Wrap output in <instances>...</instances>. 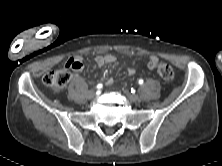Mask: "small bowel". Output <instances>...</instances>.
I'll list each match as a JSON object with an SVG mask.
<instances>
[{
  "label": "small bowel",
  "mask_w": 222,
  "mask_h": 166,
  "mask_svg": "<svg viewBox=\"0 0 222 166\" xmlns=\"http://www.w3.org/2000/svg\"><path fill=\"white\" fill-rule=\"evenodd\" d=\"M116 61V57L112 54H102V55H97L95 57V62L98 67H104L107 65H110ZM66 67L73 69L76 72H80L84 68V62L83 58L79 55H74L70 57L67 62H66ZM135 69L134 68H129L127 70V74L129 76L135 74ZM113 83V79L109 78L106 80V85H111Z\"/></svg>",
  "instance_id": "c3829d8e"
}]
</instances>
